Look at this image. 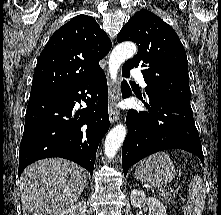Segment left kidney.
I'll return each mask as SVG.
<instances>
[{"label": "left kidney", "mask_w": 221, "mask_h": 215, "mask_svg": "<svg viewBox=\"0 0 221 215\" xmlns=\"http://www.w3.org/2000/svg\"><path fill=\"white\" fill-rule=\"evenodd\" d=\"M131 204L133 207H140L146 203L149 208V215H167L166 208L160 200L155 197L147 198L145 193L139 190H132L130 195Z\"/></svg>", "instance_id": "1"}]
</instances>
